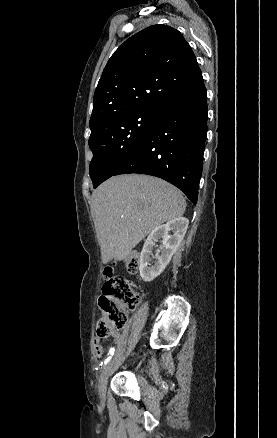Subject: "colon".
<instances>
[{"mask_svg":"<svg viewBox=\"0 0 277 438\" xmlns=\"http://www.w3.org/2000/svg\"><path fill=\"white\" fill-rule=\"evenodd\" d=\"M130 254L136 257L139 251L133 248ZM126 267L130 273H137L139 260L137 258L128 259ZM102 274L106 284H99L98 302L101 305L100 310L104 313V317L94 334L97 340L122 329L127 322V312L134 309L139 302V297L133 290L131 282L123 276H116L113 266L104 267Z\"/></svg>","mask_w":277,"mask_h":438,"instance_id":"5ec220e1","label":"colon"}]
</instances>
